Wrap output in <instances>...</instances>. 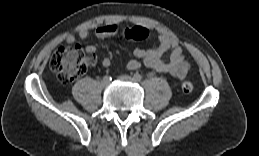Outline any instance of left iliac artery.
<instances>
[{
  "instance_id": "left-iliac-artery-1",
  "label": "left iliac artery",
  "mask_w": 259,
  "mask_h": 156,
  "mask_svg": "<svg viewBox=\"0 0 259 156\" xmlns=\"http://www.w3.org/2000/svg\"><path fill=\"white\" fill-rule=\"evenodd\" d=\"M133 79L137 82L142 80V76L139 73L134 74Z\"/></svg>"
}]
</instances>
